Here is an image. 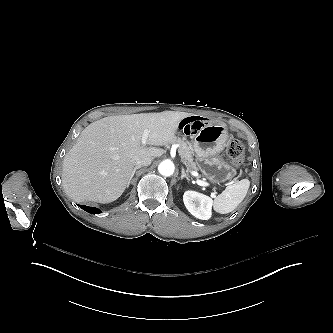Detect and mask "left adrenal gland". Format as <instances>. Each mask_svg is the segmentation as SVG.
<instances>
[{
  "instance_id": "left-adrenal-gland-1",
  "label": "left adrenal gland",
  "mask_w": 333,
  "mask_h": 333,
  "mask_svg": "<svg viewBox=\"0 0 333 333\" xmlns=\"http://www.w3.org/2000/svg\"><path fill=\"white\" fill-rule=\"evenodd\" d=\"M187 179L188 181H190V178L188 177V175L185 173V169H182V175H181V180L183 179Z\"/></svg>"
}]
</instances>
